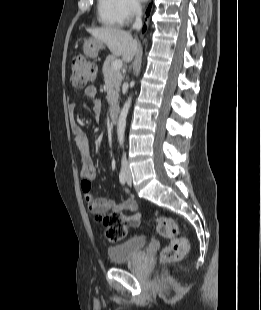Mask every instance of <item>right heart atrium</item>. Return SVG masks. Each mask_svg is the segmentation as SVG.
<instances>
[{
  "instance_id": "right-heart-atrium-1",
  "label": "right heart atrium",
  "mask_w": 261,
  "mask_h": 310,
  "mask_svg": "<svg viewBox=\"0 0 261 310\" xmlns=\"http://www.w3.org/2000/svg\"><path fill=\"white\" fill-rule=\"evenodd\" d=\"M118 12L124 24L132 21L141 13V5L138 0H117Z\"/></svg>"
}]
</instances>
